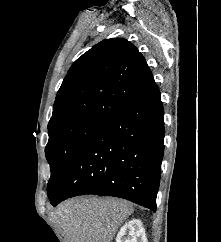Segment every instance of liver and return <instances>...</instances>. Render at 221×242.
I'll return each instance as SVG.
<instances>
[{
  "instance_id": "liver-1",
  "label": "liver",
  "mask_w": 221,
  "mask_h": 242,
  "mask_svg": "<svg viewBox=\"0 0 221 242\" xmlns=\"http://www.w3.org/2000/svg\"><path fill=\"white\" fill-rule=\"evenodd\" d=\"M132 212L126 200L80 197L60 204L53 218L65 242H111Z\"/></svg>"
}]
</instances>
